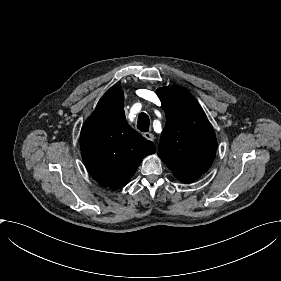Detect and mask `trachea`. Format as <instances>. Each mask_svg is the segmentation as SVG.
Masks as SVG:
<instances>
[{"label":"trachea","mask_w":281,"mask_h":281,"mask_svg":"<svg viewBox=\"0 0 281 281\" xmlns=\"http://www.w3.org/2000/svg\"><path fill=\"white\" fill-rule=\"evenodd\" d=\"M137 128L142 132H147L149 130V117L146 113L139 114Z\"/></svg>","instance_id":"1"}]
</instances>
